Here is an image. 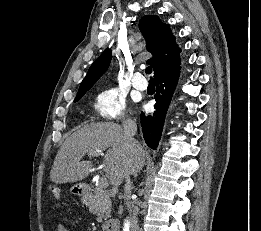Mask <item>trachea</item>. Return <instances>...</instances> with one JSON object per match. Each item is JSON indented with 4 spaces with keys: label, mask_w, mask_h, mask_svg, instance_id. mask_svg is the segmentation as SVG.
I'll list each match as a JSON object with an SVG mask.
<instances>
[{
    "label": "trachea",
    "mask_w": 261,
    "mask_h": 231,
    "mask_svg": "<svg viewBox=\"0 0 261 231\" xmlns=\"http://www.w3.org/2000/svg\"><path fill=\"white\" fill-rule=\"evenodd\" d=\"M145 73L151 74L152 73V67L151 66L147 67L146 70H145ZM150 81H153V79H150Z\"/></svg>",
    "instance_id": "1"
}]
</instances>
